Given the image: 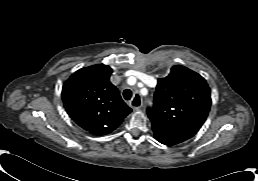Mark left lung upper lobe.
Listing matches in <instances>:
<instances>
[{
	"mask_svg": "<svg viewBox=\"0 0 258 181\" xmlns=\"http://www.w3.org/2000/svg\"><path fill=\"white\" fill-rule=\"evenodd\" d=\"M211 93L205 79L181 65L158 79L154 107L148 108L152 128L191 138L207 118Z\"/></svg>",
	"mask_w": 258,
	"mask_h": 181,
	"instance_id": "left-lung-upper-lobe-1",
	"label": "left lung upper lobe"
}]
</instances>
